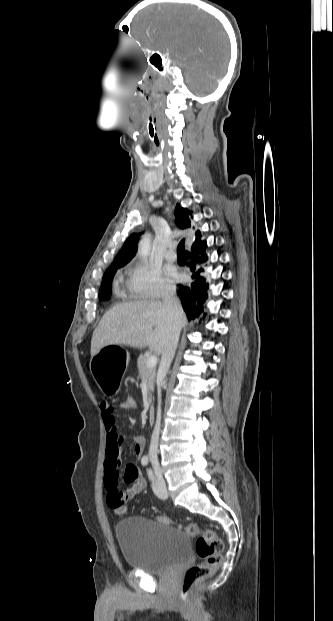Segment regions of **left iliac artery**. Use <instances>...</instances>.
Wrapping results in <instances>:
<instances>
[{
  "mask_svg": "<svg viewBox=\"0 0 333 621\" xmlns=\"http://www.w3.org/2000/svg\"><path fill=\"white\" fill-rule=\"evenodd\" d=\"M148 477L152 481V487H153V490H154L157 485H156L155 478L153 476V473H152L151 469H148Z\"/></svg>",
  "mask_w": 333,
  "mask_h": 621,
  "instance_id": "44dca946",
  "label": "left iliac artery"
}]
</instances>
